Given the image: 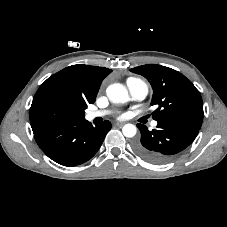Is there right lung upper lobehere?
I'll use <instances>...</instances> for the list:
<instances>
[{
    "instance_id": "obj_1",
    "label": "right lung upper lobe",
    "mask_w": 227,
    "mask_h": 227,
    "mask_svg": "<svg viewBox=\"0 0 227 227\" xmlns=\"http://www.w3.org/2000/svg\"><path fill=\"white\" fill-rule=\"evenodd\" d=\"M112 70L89 65H72L50 76L41 87L63 90L87 106L95 102L102 80Z\"/></svg>"
}]
</instances>
